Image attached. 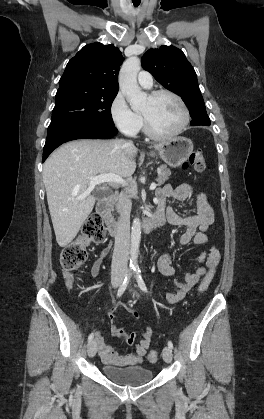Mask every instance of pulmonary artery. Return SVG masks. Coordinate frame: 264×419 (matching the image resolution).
<instances>
[{
  "label": "pulmonary artery",
  "instance_id": "e3ab8cb5",
  "mask_svg": "<svg viewBox=\"0 0 264 419\" xmlns=\"http://www.w3.org/2000/svg\"><path fill=\"white\" fill-rule=\"evenodd\" d=\"M138 83L143 88H151L153 81L152 76L148 71H141L138 74Z\"/></svg>",
  "mask_w": 264,
  "mask_h": 419
}]
</instances>
